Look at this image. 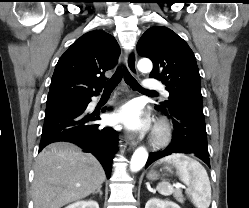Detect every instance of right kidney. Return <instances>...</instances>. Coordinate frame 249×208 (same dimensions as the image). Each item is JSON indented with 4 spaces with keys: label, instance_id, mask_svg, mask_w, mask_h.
<instances>
[{
    "label": "right kidney",
    "instance_id": "ca27d5eb",
    "mask_svg": "<svg viewBox=\"0 0 249 208\" xmlns=\"http://www.w3.org/2000/svg\"><path fill=\"white\" fill-rule=\"evenodd\" d=\"M65 208H99V205L96 201H78Z\"/></svg>",
    "mask_w": 249,
    "mask_h": 208
}]
</instances>
